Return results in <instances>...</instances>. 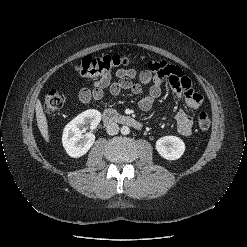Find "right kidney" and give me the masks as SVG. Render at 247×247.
Listing matches in <instances>:
<instances>
[{
	"instance_id": "ca27d5eb",
	"label": "right kidney",
	"mask_w": 247,
	"mask_h": 247,
	"mask_svg": "<svg viewBox=\"0 0 247 247\" xmlns=\"http://www.w3.org/2000/svg\"><path fill=\"white\" fill-rule=\"evenodd\" d=\"M100 121L101 113L97 110L90 109L76 116L65 126L62 135V144L70 157L79 158L89 151L95 142V135L92 132L83 134L86 130L84 125L89 124L90 129L93 130L98 126Z\"/></svg>"
}]
</instances>
